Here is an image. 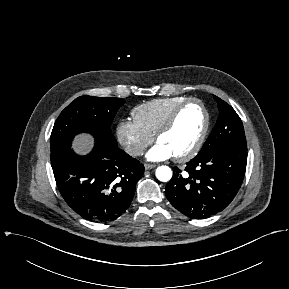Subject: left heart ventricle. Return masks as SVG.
I'll use <instances>...</instances> for the list:
<instances>
[{
  "mask_svg": "<svg viewBox=\"0 0 289 289\" xmlns=\"http://www.w3.org/2000/svg\"><path fill=\"white\" fill-rule=\"evenodd\" d=\"M205 116L201 107L192 103L179 115L173 128L158 140L173 156L186 153L196 143L204 126Z\"/></svg>",
  "mask_w": 289,
  "mask_h": 289,
  "instance_id": "1",
  "label": "left heart ventricle"
}]
</instances>
